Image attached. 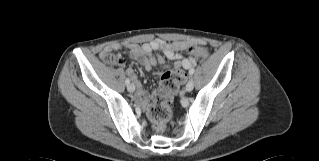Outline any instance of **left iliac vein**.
I'll use <instances>...</instances> for the list:
<instances>
[{
    "label": "left iliac vein",
    "mask_w": 319,
    "mask_h": 161,
    "mask_svg": "<svg viewBox=\"0 0 319 161\" xmlns=\"http://www.w3.org/2000/svg\"><path fill=\"white\" fill-rule=\"evenodd\" d=\"M193 88H194V81H193V79H190L185 86V91L190 92L193 90Z\"/></svg>",
    "instance_id": "1"
}]
</instances>
